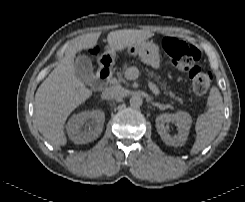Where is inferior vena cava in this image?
Wrapping results in <instances>:
<instances>
[{
	"label": "inferior vena cava",
	"mask_w": 245,
	"mask_h": 202,
	"mask_svg": "<svg viewBox=\"0 0 245 202\" xmlns=\"http://www.w3.org/2000/svg\"><path fill=\"white\" fill-rule=\"evenodd\" d=\"M125 95V90L121 86H112L103 91L105 99H118Z\"/></svg>",
	"instance_id": "1"
}]
</instances>
